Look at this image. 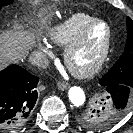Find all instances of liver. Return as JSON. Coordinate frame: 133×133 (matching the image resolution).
<instances>
[{
    "label": "liver",
    "mask_w": 133,
    "mask_h": 133,
    "mask_svg": "<svg viewBox=\"0 0 133 133\" xmlns=\"http://www.w3.org/2000/svg\"><path fill=\"white\" fill-rule=\"evenodd\" d=\"M35 43V36L21 27L5 30L0 34V70L8 63L23 60Z\"/></svg>",
    "instance_id": "obj_1"
}]
</instances>
